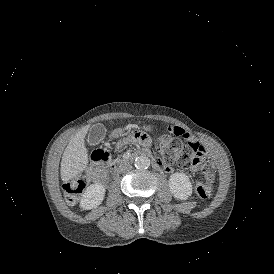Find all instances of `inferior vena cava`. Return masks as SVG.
I'll return each mask as SVG.
<instances>
[{
    "label": "inferior vena cava",
    "mask_w": 274,
    "mask_h": 274,
    "mask_svg": "<svg viewBox=\"0 0 274 274\" xmlns=\"http://www.w3.org/2000/svg\"><path fill=\"white\" fill-rule=\"evenodd\" d=\"M131 169H132V166L130 164H125L124 166L121 167V171H128Z\"/></svg>",
    "instance_id": "1"
}]
</instances>
